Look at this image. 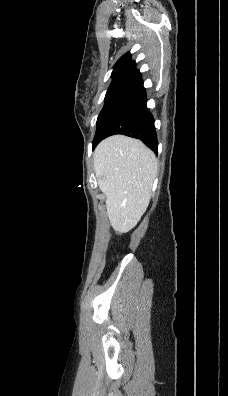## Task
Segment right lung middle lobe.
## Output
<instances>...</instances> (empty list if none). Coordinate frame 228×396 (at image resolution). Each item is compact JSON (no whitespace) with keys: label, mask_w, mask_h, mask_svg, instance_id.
<instances>
[{"label":"right lung middle lobe","mask_w":228,"mask_h":396,"mask_svg":"<svg viewBox=\"0 0 228 396\" xmlns=\"http://www.w3.org/2000/svg\"><path fill=\"white\" fill-rule=\"evenodd\" d=\"M125 87L122 86H109L106 96H105V104L98 116L97 121L99 120V118L102 116V114L104 113V111L108 108V106L110 105V103L123 91Z\"/></svg>","instance_id":"dd1d6c3e"}]
</instances>
